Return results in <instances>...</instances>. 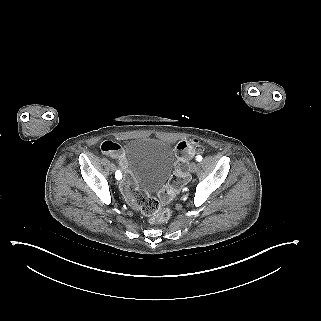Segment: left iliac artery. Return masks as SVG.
<instances>
[{"instance_id":"left-iliac-artery-1","label":"left iliac artery","mask_w":321,"mask_h":321,"mask_svg":"<svg viewBox=\"0 0 321 321\" xmlns=\"http://www.w3.org/2000/svg\"><path fill=\"white\" fill-rule=\"evenodd\" d=\"M196 160H197L198 162H200V161L202 160V156L198 155V156L196 157Z\"/></svg>"}]
</instances>
